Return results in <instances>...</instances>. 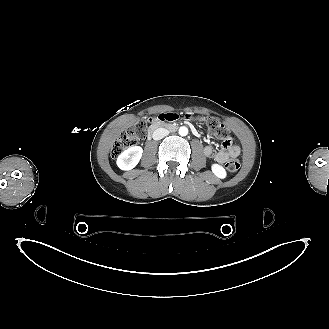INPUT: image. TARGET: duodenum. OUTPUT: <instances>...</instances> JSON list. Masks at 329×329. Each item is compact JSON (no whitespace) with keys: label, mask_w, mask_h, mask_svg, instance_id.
<instances>
[{"label":"duodenum","mask_w":329,"mask_h":329,"mask_svg":"<svg viewBox=\"0 0 329 329\" xmlns=\"http://www.w3.org/2000/svg\"><path fill=\"white\" fill-rule=\"evenodd\" d=\"M160 127H167V128H169V129H172V130H175V129H176V126H175V125H173V124H171V123H169V122H166V121H160V120H157V118H155V119L152 121V123H151V125H150V127H149V129H148V132H147V134H146V139H147V140H150V139H151V136H152V134H153V132H154L156 129L160 128Z\"/></svg>","instance_id":"1"}]
</instances>
